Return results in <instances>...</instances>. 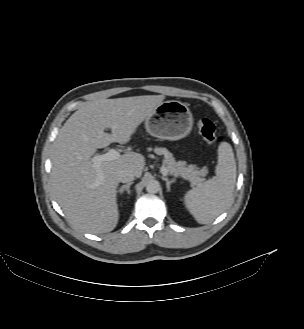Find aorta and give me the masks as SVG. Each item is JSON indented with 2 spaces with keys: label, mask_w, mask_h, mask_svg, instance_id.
Listing matches in <instances>:
<instances>
[{
  "label": "aorta",
  "mask_w": 304,
  "mask_h": 329,
  "mask_svg": "<svg viewBox=\"0 0 304 329\" xmlns=\"http://www.w3.org/2000/svg\"><path fill=\"white\" fill-rule=\"evenodd\" d=\"M160 189V185L157 181L151 180L146 185V191L148 193H157Z\"/></svg>",
  "instance_id": "762f6f07"
}]
</instances>
